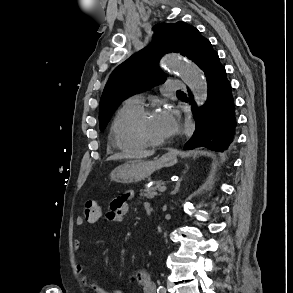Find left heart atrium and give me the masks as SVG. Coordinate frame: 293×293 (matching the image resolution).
Returning a JSON list of instances; mask_svg holds the SVG:
<instances>
[{
  "label": "left heart atrium",
  "mask_w": 293,
  "mask_h": 293,
  "mask_svg": "<svg viewBox=\"0 0 293 293\" xmlns=\"http://www.w3.org/2000/svg\"><path fill=\"white\" fill-rule=\"evenodd\" d=\"M161 117L165 121L169 134L171 135L176 128V116L174 112L171 110L163 111L161 112Z\"/></svg>",
  "instance_id": "1"
}]
</instances>
